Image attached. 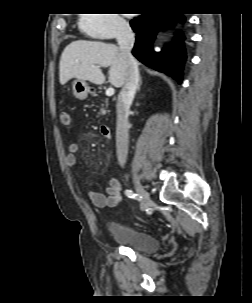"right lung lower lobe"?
I'll return each instance as SVG.
<instances>
[{"mask_svg": "<svg viewBox=\"0 0 252 303\" xmlns=\"http://www.w3.org/2000/svg\"><path fill=\"white\" fill-rule=\"evenodd\" d=\"M177 21L183 23L185 17L173 13H146L131 20L130 25L136 34L133 55L148 67L164 72L180 82L186 60L182 32L176 34L174 49L166 46L160 53H156L152 49L158 30L170 28Z\"/></svg>", "mask_w": 252, "mask_h": 303, "instance_id": "obj_1", "label": "right lung lower lobe"}]
</instances>
